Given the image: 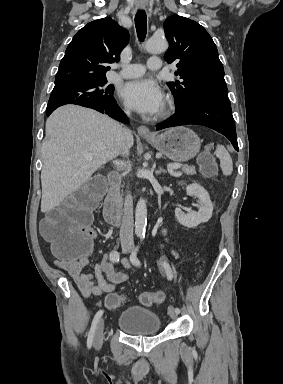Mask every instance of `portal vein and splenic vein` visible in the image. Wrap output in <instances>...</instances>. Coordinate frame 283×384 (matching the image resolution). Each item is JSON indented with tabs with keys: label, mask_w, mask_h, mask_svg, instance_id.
Wrapping results in <instances>:
<instances>
[{
	"label": "portal vein and splenic vein",
	"mask_w": 283,
	"mask_h": 384,
	"mask_svg": "<svg viewBox=\"0 0 283 384\" xmlns=\"http://www.w3.org/2000/svg\"><path fill=\"white\" fill-rule=\"evenodd\" d=\"M87 160H93L92 154H87ZM114 164H120V162H114ZM122 164V162H121ZM182 164H171V166H167L168 170H170V174H173V170H178V168H181Z\"/></svg>",
	"instance_id": "portal-vein-and-splenic-vein-1"
}]
</instances>
